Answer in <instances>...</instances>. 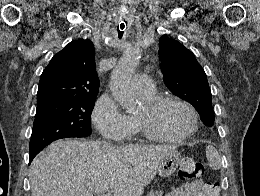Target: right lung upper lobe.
<instances>
[{
	"instance_id": "1",
	"label": "right lung upper lobe",
	"mask_w": 260,
	"mask_h": 196,
	"mask_svg": "<svg viewBox=\"0 0 260 196\" xmlns=\"http://www.w3.org/2000/svg\"><path fill=\"white\" fill-rule=\"evenodd\" d=\"M95 50L90 40H75L57 53L43 71L37 106L81 94H98Z\"/></svg>"
}]
</instances>
